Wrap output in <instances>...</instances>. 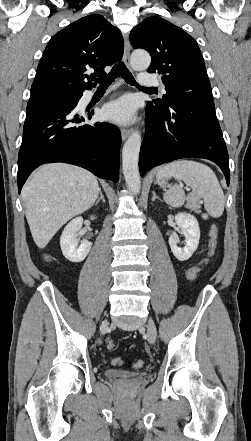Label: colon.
I'll list each match as a JSON object with an SVG mask.
<instances>
[{"mask_svg": "<svg viewBox=\"0 0 251 441\" xmlns=\"http://www.w3.org/2000/svg\"><path fill=\"white\" fill-rule=\"evenodd\" d=\"M218 244V229L215 225H213L210 229L209 232V239H208V253H207V257L204 258L197 266L193 267L188 274V278L190 280L194 279L198 273V271L200 270V267L204 264H206L209 260L210 257L213 256L216 247ZM115 348V343L113 341H109L107 343V349L108 350H113ZM112 364L115 366H119L122 364V359L119 357H115L111 360ZM144 365V362L142 360H138L134 363V367L136 369H140L142 368Z\"/></svg>", "mask_w": 251, "mask_h": 441, "instance_id": "5ec220e1", "label": "colon"}]
</instances>
